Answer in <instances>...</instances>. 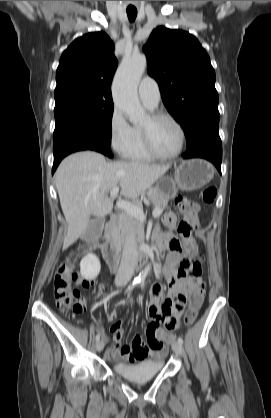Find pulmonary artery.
Returning a JSON list of instances; mask_svg holds the SVG:
<instances>
[{
	"instance_id": "obj_1",
	"label": "pulmonary artery",
	"mask_w": 271,
	"mask_h": 418,
	"mask_svg": "<svg viewBox=\"0 0 271 418\" xmlns=\"http://www.w3.org/2000/svg\"><path fill=\"white\" fill-rule=\"evenodd\" d=\"M141 102L148 108H155L160 101V90L157 82L151 77H144L138 88Z\"/></svg>"
}]
</instances>
